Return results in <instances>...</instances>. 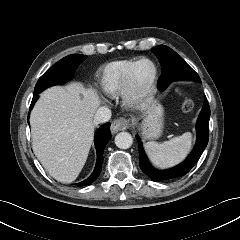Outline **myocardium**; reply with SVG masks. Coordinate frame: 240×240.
I'll return each instance as SVG.
<instances>
[{"instance_id": "myocardium-1", "label": "myocardium", "mask_w": 240, "mask_h": 240, "mask_svg": "<svg viewBox=\"0 0 240 240\" xmlns=\"http://www.w3.org/2000/svg\"><path fill=\"white\" fill-rule=\"evenodd\" d=\"M143 62H147L152 66V75L146 85H139L135 82L134 75L138 66ZM157 81L158 68L154 61L146 57L136 60L129 68L124 79L123 97L126 103L131 107H138L147 102L154 93Z\"/></svg>"}]
</instances>
